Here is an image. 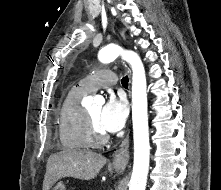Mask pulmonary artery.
I'll use <instances>...</instances> for the list:
<instances>
[{
  "instance_id": "e3ab8cb5",
  "label": "pulmonary artery",
  "mask_w": 221,
  "mask_h": 190,
  "mask_svg": "<svg viewBox=\"0 0 221 190\" xmlns=\"http://www.w3.org/2000/svg\"><path fill=\"white\" fill-rule=\"evenodd\" d=\"M116 83L117 75L109 69L95 71L79 82V84L89 93L95 92L100 87H109Z\"/></svg>"
}]
</instances>
